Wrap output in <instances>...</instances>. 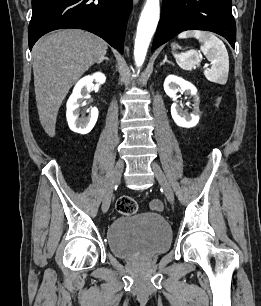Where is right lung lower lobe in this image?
<instances>
[{"label":"right lung lower lobe","mask_w":261,"mask_h":306,"mask_svg":"<svg viewBox=\"0 0 261 306\" xmlns=\"http://www.w3.org/2000/svg\"><path fill=\"white\" fill-rule=\"evenodd\" d=\"M132 0H32L29 48L44 34L65 28L90 31L123 53Z\"/></svg>","instance_id":"obj_1"}]
</instances>
